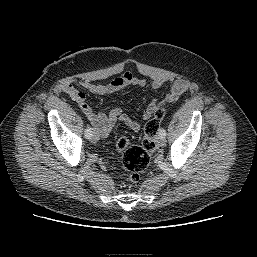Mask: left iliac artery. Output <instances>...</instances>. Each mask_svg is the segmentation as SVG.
Listing matches in <instances>:
<instances>
[{
    "mask_svg": "<svg viewBox=\"0 0 257 257\" xmlns=\"http://www.w3.org/2000/svg\"><path fill=\"white\" fill-rule=\"evenodd\" d=\"M159 135L165 137L166 136V131L164 129L159 130Z\"/></svg>",
    "mask_w": 257,
    "mask_h": 257,
    "instance_id": "left-iliac-artery-1",
    "label": "left iliac artery"
}]
</instances>
